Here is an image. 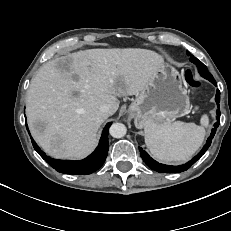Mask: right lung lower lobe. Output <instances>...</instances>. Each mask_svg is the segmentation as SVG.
I'll use <instances>...</instances> for the list:
<instances>
[{
	"label": "right lung lower lobe",
	"instance_id": "obj_1",
	"mask_svg": "<svg viewBox=\"0 0 231 231\" xmlns=\"http://www.w3.org/2000/svg\"><path fill=\"white\" fill-rule=\"evenodd\" d=\"M111 123H107L103 129L102 136L98 147L95 151L89 155L87 158L80 161H70V160H56L52 159L40 150L38 145L32 139V144L34 149L40 154V156L55 170L64 174H75V175H85L90 174L98 170L104 163L107 152L109 149L108 134L109 127ZM27 127V125H26ZM28 129V128H27ZM29 132V131H28Z\"/></svg>",
	"mask_w": 231,
	"mask_h": 231
}]
</instances>
